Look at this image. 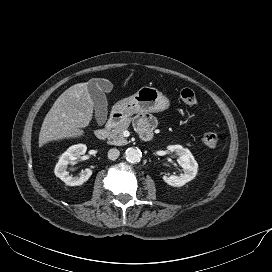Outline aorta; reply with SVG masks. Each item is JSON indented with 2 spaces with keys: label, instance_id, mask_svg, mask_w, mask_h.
Returning a JSON list of instances; mask_svg holds the SVG:
<instances>
[{
  "label": "aorta",
  "instance_id": "1",
  "mask_svg": "<svg viewBox=\"0 0 272 272\" xmlns=\"http://www.w3.org/2000/svg\"><path fill=\"white\" fill-rule=\"evenodd\" d=\"M125 157L129 163L135 164V163L140 162V160L142 158V153L139 149L128 148L125 152Z\"/></svg>",
  "mask_w": 272,
  "mask_h": 272
}]
</instances>
